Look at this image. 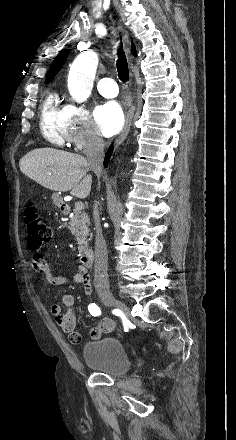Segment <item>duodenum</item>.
<instances>
[{
    "label": "duodenum",
    "instance_id": "obj_1",
    "mask_svg": "<svg viewBox=\"0 0 236 440\" xmlns=\"http://www.w3.org/2000/svg\"><path fill=\"white\" fill-rule=\"evenodd\" d=\"M62 210H66V205L63 202H59ZM81 264L84 268H91L94 260V253L91 249H87L81 255Z\"/></svg>",
    "mask_w": 236,
    "mask_h": 440
}]
</instances>
